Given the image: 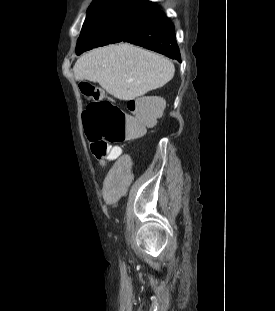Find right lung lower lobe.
I'll use <instances>...</instances> for the list:
<instances>
[{
  "instance_id": "obj_1",
  "label": "right lung lower lobe",
  "mask_w": 275,
  "mask_h": 311,
  "mask_svg": "<svg viewBox=\"0 0 275 311\" xmlns=\"http://www.w3.org/2000/svg\"><path fill=\"white\" fill-rule=\"evenodd\" d=\"M181 62L174 25L161 10L135 24L122 40Z\"/></svg>"
}]
</instances>
